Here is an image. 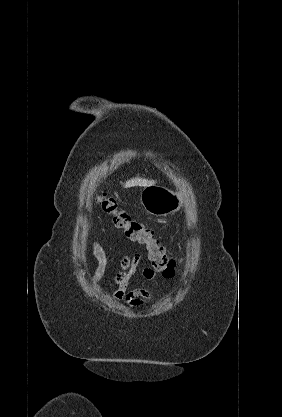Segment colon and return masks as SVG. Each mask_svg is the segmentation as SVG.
<instances>
[{
  "instance_id": "5ec220e1",
  "label": "colon",
  "mask_w": 282,
  "mask_h": 417,
  "mask_svg": "<svg viewBox=\"0 0 282 417\" xmlns=\"http://www.w3.org/2000/svg\"><path fill=\"white\" fill-rule=\"evenodd\" d=\"M95 198L103 210L111 216L117 228L122 229L128 238L146 248L152 266L166 277H172L175 263L167 256L165 248L156 239L154 231L142 222L132 219L125 210L119 207L116 199L106 192L98 191Z\"/></svg>"
}]
</instances>
